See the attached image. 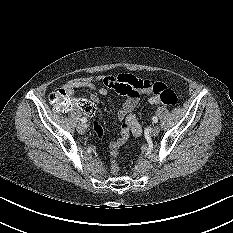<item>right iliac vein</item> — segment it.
Listing matches in <instances>:
<instances>
[{
  "mask_svg": "<svg viewBox=\"0 0 233 233\" xmlns=\"http://www.w3.org/2000/svg\"><path fill=\"white\" fill-rule=\"evenodd\" d=\"M77 130H78L79 132H81V133H84L85 130H86V125H85L84 123L78 124Z\"/></svg>",
  "mask_w": 233,
  "mask_h": 233,
  "instance_id": "obj_1",
  "label": "right iliac vein"
}]
</instances>
